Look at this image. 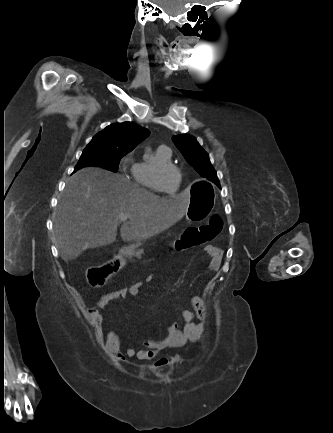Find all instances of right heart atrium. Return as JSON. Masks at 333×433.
Listing matches in <instances>:
<instances>
[{
    "label": "right heart atrium",
    "mask_w": 333,
    "mask_h": 433,
    "mask_svg": "<svg viewBox=\"0 0 333 433\" xmlns=\"http://www.w3.org/2000/svg\"><path fill=\"white\" fill-rule=\"evenodd\" d=\"M136 167H137V163L135 162V158H134V152H128L127 154H125L119 162V168L120 171L127 175V174H131L134 175L135 171H136Z\"/></svg>",
    "instance_id": "1"
}]
</instances>
